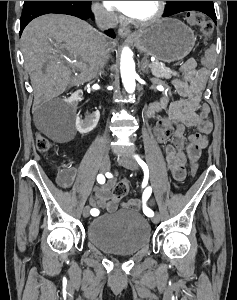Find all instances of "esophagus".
Returning a JSON list of instances; mask_svg holds the SVG:
<instances>
[{"label":"esophagus","mask_w":237,"mask_h":300,"mask_svg":"<svg viewBox=\"0 0 237 300\" xmlns=\"http://www.w3.org/2000/svg\"><path fill=\"white\" fill-rule=\"evenodd\" d=\"M118 34L122 38H128V39H134L136 38V35L130 31V29L126 26H121L118 29Z\"/></svg>","instance_id":"obj_1"}]
</instances>
